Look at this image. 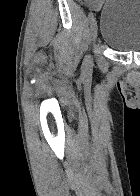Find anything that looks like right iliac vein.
<instances>
[{"mask_svg":"<svg viewBox=\"0 0 140 196\" xmlns=\"http://www.w3.org/2000/svg\"><path fill=\"white\" fill-rule=\"evenodd\" d=\"M90 28H91L92 39L93 41H96L98 37V27L95 18H92L90 22Z\"/></svg>","mask_w":140,"mask_h":196,"instance_id":"obj_1","label":"right iliac vein"}]
</instances>
